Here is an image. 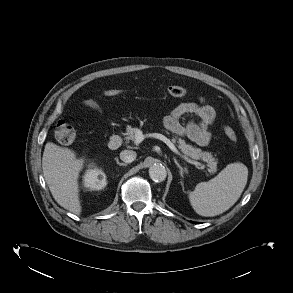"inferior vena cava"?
<instances>
[{
    "instance_id": "602c4592",
    "label": "inferior vena cava",
    "mask_w": 293,
    "mask_h": 293,
    "mask_svg": "<svg viewBox=\"0 0 293 293\" xmlns=\"http://www.w3.org/2000/svg\"><path fill=\"white\" fill-rule=\"evenodd\" d=\"M136 152L132 150H124L120 153V159L125 163H131L136 159Z\"/></svg>"
}]
</instances>
